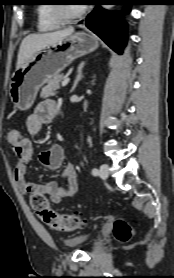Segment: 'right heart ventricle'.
<instances>
[{
    "mask_svg": "<svg viewBox=\"0 0 174 278\" xmlns=\"http://www.w3.org/2000/svg\"><path fill=\"white\" fill-rule=\"evenodd\" d=\"M37 28L41 32H48L59 28L63 23L53 15L52 4H40L37 9Z\"/></svg>",
    "mask_w": 174,
    "mask_h": 278,
    "instance_id": "right-heart-ventricle-1",
    "label": "right heart ventricle"
}]
</instances>
